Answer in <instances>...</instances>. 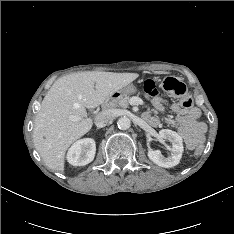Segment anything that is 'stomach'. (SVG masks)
<instances>
[{"label":"stomach","mask_w":234,"mask_h":234,"mask_svg":"<svg viewBox=\"0 0 234 234\" xmlns=\"http://www.w3.org/2000/svg\"><path fill=\"white\" fill-rule=\"evenodd\" d=\"M136 91L137 88L132 83H129L115 93H118L119 97H123L125 95L134 94Z\"/></svg>","instance_id":"0dacf381"}]
</instances>
